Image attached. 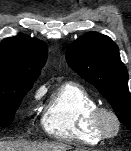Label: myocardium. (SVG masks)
Here are the masks:
<instances>
[{
  "instance_id": "myocardium-1",
  "label": "myocardium",
  "mask_w": 131,
  "mask_h": 151,
  "mask_svg": "<svg viewBox=\"0 0 131 151\" xmlns=\"http://www.w3.org/2000/svg\"><path fill=\"white\" fill-rule=\"evenodd\" d=\"M90 122L94 130L104 138L116 137L121 130L119 116L109 107L97 106L91 114Z\"/></svg>"
}]
</instances>
